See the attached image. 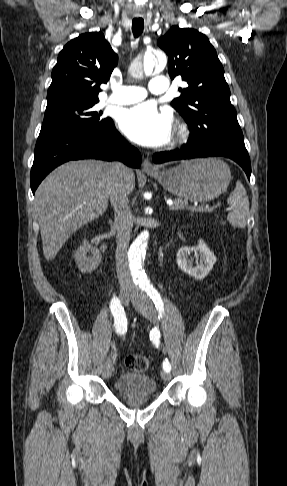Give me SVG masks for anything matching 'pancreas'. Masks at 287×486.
<instances>
[{"label": "pancreas", "instance_id": "cf45deb5", "mask_svg": "<svg viewBox=\"0 0 287 486\" xmlns=\"http://www.w3.org/2000/svg\"><path fill=\"white\" fill-rule=\"evenodd\" d=\"M188 205V202L183 199H175L174 200V205L170 207V210L175 211V210H184ZM206 212H212L211 209H204Z\"/></svg>", "mask_w": 287, "mask_h": 486}]
</instances>
